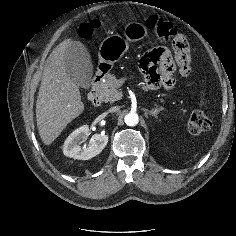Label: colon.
<instances>
[{
  "label": "colon",
  "mask_w": 236,
  "mask_h": 236,
  "mask_svg": "<svg viewBox=\"0 0 236 236\" xmlns=\"http://www.w3.org/2000/svg\"><path fill=\"white\" fill-rule=\"evenodd\" d=\"M149 30L155 33L160 40L171 41L175 54L186 58L189 54V44L186 38L180 34L175 27L168 21L158 17L150 16L146 21ZM97 26L83 25L79 34L82 38L88 39L93 35ZM189 131L193 134H199L211 128V120L208 115L202 111H194L188 121Z\"/></svg>",
  "instance_id": "obj_1"
}]
</instances>
